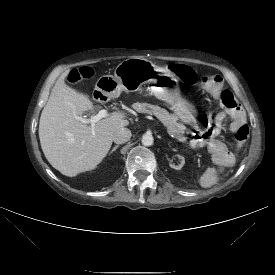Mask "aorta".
<instances>
[{"label": "aorta", "mask_w": 275, "mask_h": 275, "mask_svg": "<svg viewBox=\"0 0 275 275\" xmlns=\"http://www.w3.org/2000/svg\"><path fill=\"white\" fill-rule=\"evenodd\" d=\"M154 143L153 136L150 133H146L142 136V144L144 146H151Z\"/></svg>", "instance_id": "1"}]
</instances>
